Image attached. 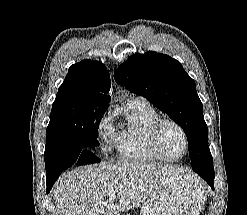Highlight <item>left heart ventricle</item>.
Returning a JSON list of instances; mask_svg holds the SVG:
<instances>
[{"label": "left heart ventricle", "mask_w": 247, "mask_h": 215, "mask_svg": "<svg viewBox=\"0 0 247 215\" xmlns=\"http://www.w3.org/2000/svg\"><path fill=\"white\" fill-rule=\"evenodd\" d=\"M162 149L168 156L177 157L184 151V140L177 128L167 125L161 133Z\"/></svg>", "instance_id": "obj_1"}]
</instances>
